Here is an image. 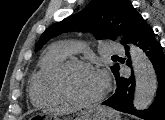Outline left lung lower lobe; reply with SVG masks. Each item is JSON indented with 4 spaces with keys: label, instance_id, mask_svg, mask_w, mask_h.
I'll return each instance as SVG.
<instances>
[{
    "label": "left lung lower lobe",
    "instance_id": "0a47b994",
    "mask_svg": "<svg viewBox=\"0 0 165 120\" xmlns=\"http://www.w3.org/2000/svg\"><path fill=\"white\" fill-rule=\"evenodd\" d=\"M128 42L136 44L151 60L157 74L158 90L152 105L144 111L136 110L133 106V93L135 78L131 74L129 78L119 76L117 68L116 82L118 84L115 93L102 104L110 106L118 111L133 114L144 120H165V54L160 43L157 41L153 29L140 17L137 24L127 39ZM129 47L125 45L126 54ZM123 63V61H121ZM127 65L131 67L130 58Z\"/></svg>",
    "mask_w": 165,
    "mask_h": 120
}]
</instances>
